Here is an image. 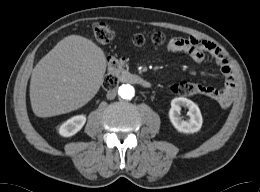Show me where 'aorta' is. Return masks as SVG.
<instances>
[{
	"mask_svg": "<svg viewBox=\"0 0 260 192\" xmlns=\"http://www.w3.org/2000/svg\"><path fill=\"white\" fill-rule=\"evenodd\" d=\"M135 90L130 84H123L118 89V95L122 99L130 100L134 97Z\"/></svg>",
	"mask_w": 260,
	"mask_h": 192,
	"instance_id": "1",
	"label": "aorta"
}]
</instances>
